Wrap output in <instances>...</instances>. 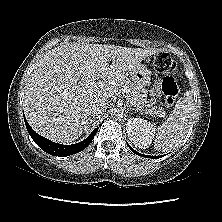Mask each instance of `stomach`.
<instances>
[{
  "label": "stomach",
  "mask_w": 222,
  "mask_h": 222,
  "mask_svg": "<svg viewBox=\"0 0 222 222\" xmlns=\"http://www.w3.org/2000/svg\"><path fill=\"white\" fill-rule=\"evenodd\" d=\"M128 78L134 83L135 86L143 88L148 86L151 82V72L139 64L129 75Z\"/></svg>",
  "instance_id": "stomach-1"
}]
</instances>
